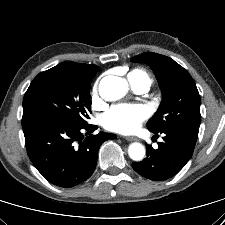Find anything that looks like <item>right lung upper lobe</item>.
I'll list each match as a JSON object with an SVG mask.
<instances>
[{
	"instance_id": "cb5924a9",
	"label": "right lung upper lobe",
	"mask_w": 225,
	"mask_h": 225,
	"mask_svg": "<svg viewBox=\"0 0 225 225\" xmlns=\"http://www.w3.org/2000/svg\"><path fill=\"white\" fill-rule=\"evenodd\" d=\"M67 62H70V61H67ZM70 63H74V62H70ZM74 64H78V65H81V66H96V65H88V64H83V63H74Z\"/></svg>"
}]
</instances>
